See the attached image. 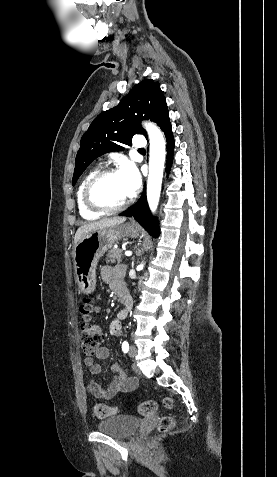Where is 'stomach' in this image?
I'll use <instances>...</instances> for the list:
<instances>
[{
	"instance_id": "1",
	"label": "stomach",
	"mask_w": 277,
	"mask_h": 477,
	"mask_svg": "<svg viewBox=\"0 0 277 477\" xmlns=\"http://www.w3.org/2000/svg\"><path fill=\"white\" fill-rule=\"evenodd\" d=\"M139 233L140 227L131 222L99 228L81 237L74 249L75 281L81 294L89 295L95 290L99 258L121 238H136Z\"/></svg>"
}]
</instances>
